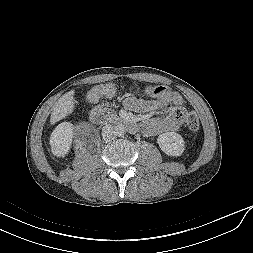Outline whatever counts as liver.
<instances>
[{"instance_id": "6515ba94", "label": "liver", "mask_w": 253, "mask_h": 253, "mask_svg": "<svg viewBox=\"0 0 253 253\" xmlns=\"http://www.w3.org/2000/svg\"><path fill=\"white\" fill-rule=\"evenodd\" d=\"M74 90H71L61 96L56 102L50 117L51 125L65 118L68 114L72 113L75 107Z\"/></svg>"}]
</instances>
